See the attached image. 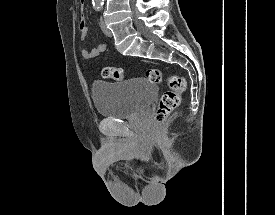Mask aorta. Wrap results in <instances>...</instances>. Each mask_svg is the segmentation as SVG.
Returning a JSON list of instances; mask_svg holds the SVG:
<instances>
[{
    "mask_svg": "<svg viewBox=\"0 0 275 215\" xmlns=\"http://www.w3.org/2000/svg\"><path fill=\"white\" fill-rule=\"evenodd\" d=\"M104 0H92L93 4L96 5V6H100L102 5Z\"/></svg>",
    "mask_w": 275,
    "mask_h": 215,
    "instance_id": "aorta-1",
    "label": "aorta"
}]
</instances>
